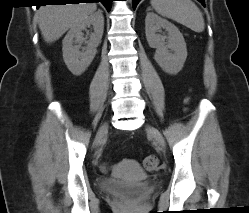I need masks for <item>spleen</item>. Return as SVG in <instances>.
<instances>
[{"label":"spleen","mask_w":249,"mask_h":213,"mask_svg":"<svg viewBox=\"0 0 249 213\" xmlns=\"http://www.w3.org/2000/svg\"><path fill=\"white\" fill-rule=\"evenodd\" d=\"M151 5L160 15L173 19L195 32L204 30L202 12L191 0H151Z\"/></svg>","instance_id":"1"}]
</instances>
